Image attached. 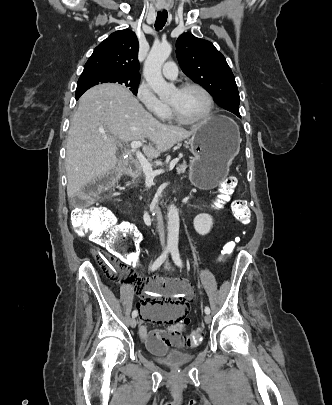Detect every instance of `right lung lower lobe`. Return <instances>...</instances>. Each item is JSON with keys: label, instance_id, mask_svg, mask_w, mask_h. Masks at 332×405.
<instances>
[{"label": "right lung lower lobe", "instance_id": "right-lung-lower-lobe-1", "mask_svg": "<svg viewBox=\"0 0 332 405\" xmlns=\"http://www.w3.org/2000/svg\"><path fill=\"white\" fill-rule=\"evenodd\" d=\"M82 94H83V93L76 94V100H78L79 97H80Z\"/></svg>", "mask_w": 332, "mask_h": 405}]
</instances>
